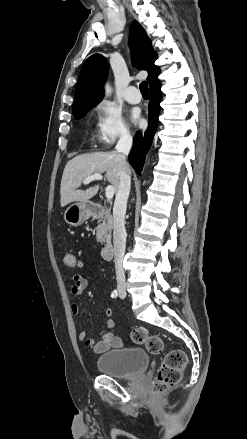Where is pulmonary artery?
Masks as SVG:
<instances>
[{"label":"pulmonary artery","instance_id":"obj_1","mask_svg":"<svg viewBox=\"0 0 247 439\" xmlns=\"http://www.w3.org/2000/svg\"><path fill=\"white\" fill-rule=\"evenodd\" d=\"M124 98L131 104H137L141 101V95L138 89L134 86H129L124 92Z\"/></svg>","mask_w":247,"mask_h":439}]
</instances>
